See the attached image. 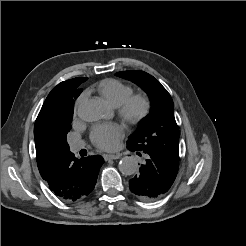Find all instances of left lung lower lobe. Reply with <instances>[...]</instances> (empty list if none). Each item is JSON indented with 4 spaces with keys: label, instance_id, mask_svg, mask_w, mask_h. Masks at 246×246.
Listing matches in <instances>:
<instances>
[{
    "label": "left lung lower lobe",
    "instance_id": "left-lung-lower-lobe-1",
    "mask_svg": "<svg viewBox=\"0 0 246 246\" xmlns=\"http://www.w3.org/2000/svg\"><path fill=\"white\" fill-rule=\"evenodd\" d=\"M145 155L146 163L129 181V187L137 197L153 200L170 189L178 172L179 161L156 151H147Z\"/></svg>",
    "mask_w": 246,
    "mask_h": 246
}]
</instances>
